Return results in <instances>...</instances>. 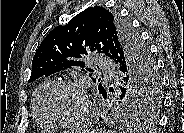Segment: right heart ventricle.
Instances as JSON below:
<instances>
[{"label":"right heart ventricle","instance_id":"right-heart-ventricle-1","mask_svg":"<svg viewBox=\"0 0 184 133\" xmlns=\"http://www.w3.org/2000/svg\"><path fill=\"white\" fill-rule=\"evenodd\" d=\"M52 79H46L44 80L35 90L33 95V113L34 116L39 124H41L44 127H50L53 125L49 119L45 116L43 109H42V98L45 93V91L50 87V85L53 84Z\"/></svg>","mask_w":184,"mask_h":133}]
</instances>
